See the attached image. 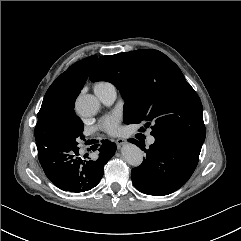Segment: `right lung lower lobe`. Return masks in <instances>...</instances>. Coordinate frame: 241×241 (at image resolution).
<instances>
[{
    "label": "right lung lower lobe",
    "mask_w": 241,
    "mask_h": 241,
    "mask_svg": "<svg viewBox=\"0 0 241 241\" xmlns=\"http://www.w3.org/2000/svg\"><path fill=\"white\" fill-rule=\"evenodd\" d=\"M37 149L39 162L54 185L63 191L84 192L100 182L104 165L115 154L116 144L103 140L96 160H83L79 147L37 143Z\"/></svg>",
    "instance_id": "1"
}]
</instances>
